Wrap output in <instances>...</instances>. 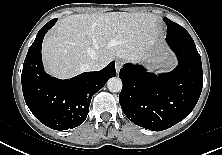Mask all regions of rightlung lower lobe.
Segmentation results:
<instances>
[{
	"mask_svg": "<svg viewBox=\"0 0 222 155\" xmlns=\"http://www.w3.org/2000/svg\"><path fill=\"white\" fill-rule=\"evenodd\" d=\"M57 19L49 21L38 32L24 61L21 81L25 102L33 115L54 130H67L81 125L89 111L94 93L116 75L111 62L97 72H86L70 80H59L44 72L41 46L44 35Z\"/></svg>",
	"mask_w": 222,
	"mask_h": 155,
	"instance_id": "98d812e1",
	"label": "right lung lower lobe"
}]
</instances>
